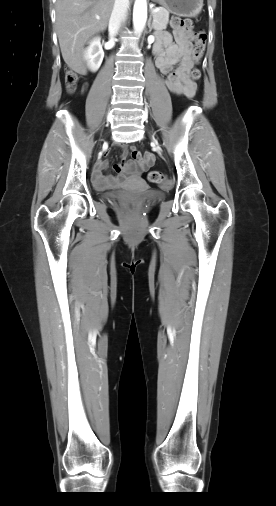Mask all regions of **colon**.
Segmentation results:
<instances>
[{
  "label": "colon",
  "mask_w": 276,
  "mask_h": 506,
  "mask_svg": "<svg viewBox=\"0 0 276 506\" xmlns=\"http://www.w3.org/2000/svg\"><path fill=\"white\" fill-rule=\"evenodd\" d=\"M171 25L176 30L185 31L187 33H191L192 31V21L189 18L184 17H173L171 20ZM193 59L196 63H199L203 57V53L206 45V35L204 32L199 31L193 33ZM201 76V72L199 69H194L192 71V78L194 80H198ZM79 81V77L76 72L72 70H67L65 74V83L67 90L72 93L76 90L77 84ZM148 180L155 184L169 185V181L166 176L158 171H152L148 174ZM131 207V206H130Z\"/></svg>",
  "instance_id": "obj_1"
}]
</instances>
